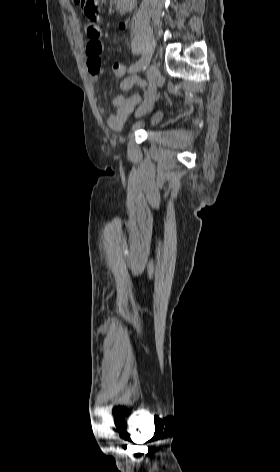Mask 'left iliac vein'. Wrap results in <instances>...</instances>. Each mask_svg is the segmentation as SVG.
I'll return each mask as SVG.
<instances>
[{
  "mask_svg": "<svg viewBox=\"0 0 280 472\" xmlns=\"http://www.w3.org/2000/svg\"><path fill=\"white\" fill-rule=\"evenodd\" d=\"M159 77V70L156 65L152 64L148 68L147 71V78H148V93L147 96L138 109V115H143L148 112L152 106L154 105L156 99V88H157V80Z\"/></svg>",
  "mask_w": 280,
  "mask_h": 472,
  "instance_id": "4c4485c4",
  "label": "left iliac vein"
}]
</instances>
